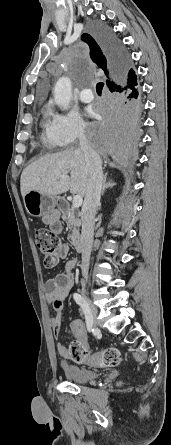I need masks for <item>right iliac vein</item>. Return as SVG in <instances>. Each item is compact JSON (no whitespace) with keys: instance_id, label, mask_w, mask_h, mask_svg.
Returning <instances> with one entry per match:
<instances>
[{"instance_id":"63e3f726","label":"right iliac vein","mask_w":171,"mask_h":445,"mask_svg":"<svg viewBox=\"0 0 171 445\" xmlns=\"http://www.w3.org/2000/svg\"><path fill=\"white\" fill-rule=\"evenodd\" d=\"M84 300H85L86 305L88 307L89 315H90V318L92 320V323H93L94 327H97L98 326V319H97L96 307L91 303V301L89 300V298L86 295H84Z\"/></svg>"}]
</instances>
